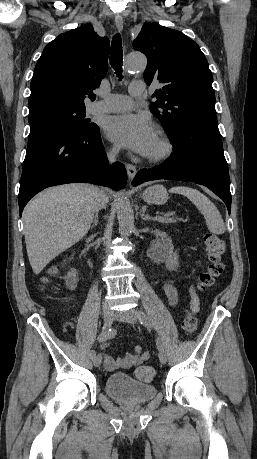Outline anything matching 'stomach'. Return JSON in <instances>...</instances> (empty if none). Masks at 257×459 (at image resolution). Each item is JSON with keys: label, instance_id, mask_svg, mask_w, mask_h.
<instances>
[{"label": "stomach", "instance_id": "stomach-1", "mask_svg": "<svg viewBox=\"0 0 257 459\" xmlns=\"http://www.w3.org/2000/svg\"><path fill=\"white\" fill-rule=\"evenodd\" d=\"M142 198L149 204H164L168 199V194L162 185L157 184L146 188Z\"/></svg>", "mask_w": 257, "mask_h": 459}]
</instances>
